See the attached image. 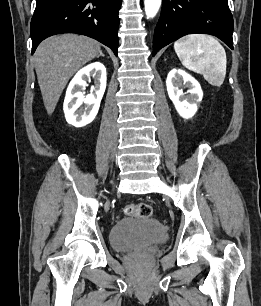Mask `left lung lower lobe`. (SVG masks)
Masks as SVG:
<instances>
[{"instance_id":"0a47b994","label":"left lung lower lobe","mask_w":261,"mask_h":306,"mask_svg":"<svg viewBox=\"0 0 261 306\" xmlns=\"http://www.w3.org/2000/svg\"><path fill=\"white\" fill-rule=\"evenodd\" d=\"M194 33L211 34L233 49V17L227 0H163L153 39V56L158 50Z\"/></svg>"}]
</instances>
